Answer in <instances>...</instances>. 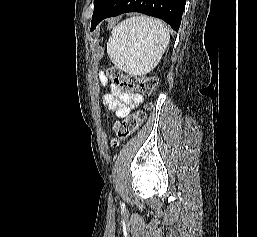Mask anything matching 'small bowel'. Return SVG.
<instances>
[{"instance_id": "small-bowel-1", "label": "small bowel", "mask_w": 257, "mask_h": 237, "mask_svg": "<svg viewBox=\"0 0 257 237\" xmlns=\"http://www.w3.org/2000/svg\"><path fill=\"white\" fill-rule=\"evenodd\" d=\"M100 80L106 83L104 74H100ZM143 97L139 94L127 93L116 86L111 88V92L104 97V102L108 108L115 110L117 117L125 118L130 111L141 105Z\"/></svg>"}]
</instances>
